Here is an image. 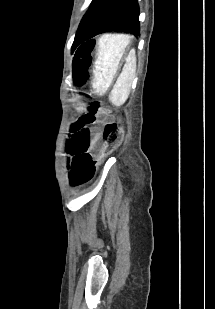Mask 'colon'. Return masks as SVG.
Wrapping results in <instances>:
<instances>
[{
  "instance_id": "5ec220e1",
  "label": "colon",
  "mask_w": 215,
  "mask_h": 309,
  "mask_svg": "<svg viewBox=\"0 0 215 309\" xmlns=\"http://www.w3.org/2000/svg\"><path fill=\"white\" fill-rule=\"evenodd\" d=\"M124 131L120 123L109 122L103 130V141L107 146V151L117 149L123 141Z\"/></svg>"
}]
</instances>
